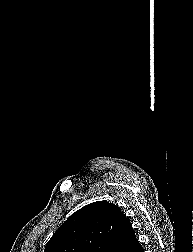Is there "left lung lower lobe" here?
Returning <instances> with one entry per match:
<instances>
[{
	"instance_id": "left-lung-lower-lobe-1",
	"label": "left lung lower lobe",
	"mask_w": 193,
	"mask_h": 252,
	"mask_svg": "<svg viewBox=\"0 0 193 252\" xmlns=\"http://www.w3.org/2000/svg\"><path fill=\"white\" fill-rule=\"evenodd\" d=\"M123 252H143V249L138 240L136 239L135 234L125 246Z\"/></svg>"
}]
</instances>
